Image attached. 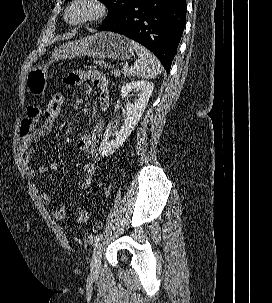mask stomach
Returning <instances> with one entry per match:
<instances>
[{
	"label": "stomach",
	"mask_w": 272,
	"mask_h": 303,
	"mask_svg": "<svg viewBox=\"0 0 272 303\" xmlns=\"http://www.w3.org/2000/svg\"><path fill=\"white\" fill-rule=\"evenodd\" d=\"M129 39L115 33H97L73 42H68L56 48L48 63L42 61L33 67L27 75V90L32 95L44 94L47 88V73L49 65L54 61L88 56L96 59L128 60L133 56Z\"/></svg>",
	"instance_id": "obj_1"
}]
</instances>
